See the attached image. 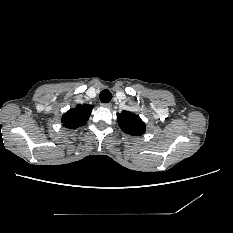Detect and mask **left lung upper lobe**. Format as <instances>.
Returning a JSON list of instances; mask_svg holds the SVG:
<instances>
[{
  "label": "left lung upper lobe",
  "instance_id": "left-lung-upper-lobe-1",
  "mask_svg": "<svg viewBox=\"0 0 233 233\" xmlns=\"http://www.w3.org/2000/svg\"><path fill=\"white\" fill-rule=\"evenodd\" d=\"M117 120L120 128L129 135L140 136L145 133V123L138 115L123 111L117 114Z\"/></svg>",
  "mask_w": 233,
  "mask_h": 233
}]
</instances>
